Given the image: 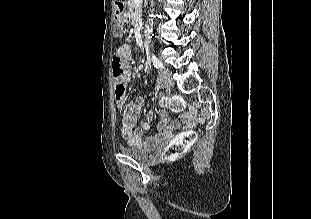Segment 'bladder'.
<instances>
[{"label": "bladder", "mask_w": 311, "mask_h": 219, "mask_svg": "<svg viewBox=\"0 0 311 219\" xmlns=\"http://www.w3.org/2000/svg\"><path fill=\"white\" fill-rule=\"evenodd\" d=\"M153 149L151 147L137 145V144H130V146H121L120 152L125 156L131 157L133 159H146L150 156Z\"/></svg>", "instance_id": "bladder-1"}]
</instances>
